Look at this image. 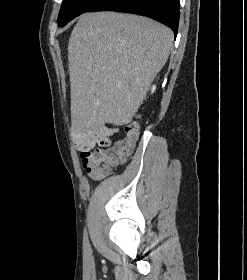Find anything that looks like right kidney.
<instances>
[{"label":"right kidney","mask_w":247,"mask_h":280,"mask_svg":"<svg viewBox=\"0 0 247 280\" xmlns=\"http://www.w3.org/2000/svg\"><path fill=\"white\" fill-rule=\"evenodd\" d=\"M155 89H156V86H153V87H152V92H154V91H155Z\"/></svg>","instance_id":"obj_1"}]
</instances>
